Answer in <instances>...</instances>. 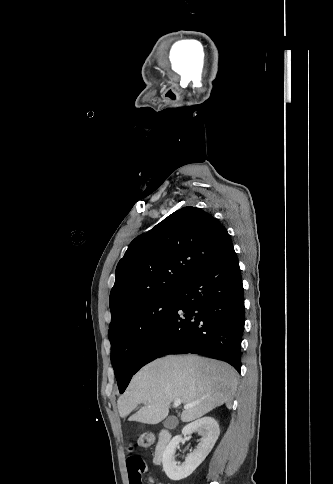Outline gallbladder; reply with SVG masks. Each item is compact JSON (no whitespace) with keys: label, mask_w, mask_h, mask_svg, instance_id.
Returning a JSON list of instances; mask_svg holds the SVG:
<instances>
[{"label":"gallbladder","mask_w":333,"mask_h":484,"mask_svg":"<svg viewBox=\"0 0 333 484\" xmlns=\"http://www.w3.org/2000/svg\"><path fill=\"white\" fill-rule=\"evenodd\" d=\"M177 425V420L174 416H168L164 421H163V426L167 429H173Z\"/></svg>","instance_id":"1"}]
</instances>
